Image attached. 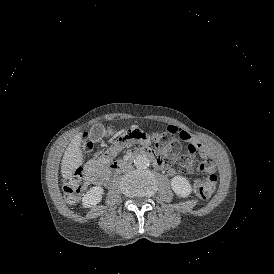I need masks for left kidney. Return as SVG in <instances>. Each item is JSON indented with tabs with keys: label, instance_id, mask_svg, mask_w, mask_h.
I'll use <instances>...</instances> for the list:
<instances>
[{
	"label": "left kidney",
	"instance_id": "left-kidney-1",
	"mask_svg": "<svg viewBox=\"0 0 274 274\" xmlns=\"http://www.w3.org/2000/svg\"><path fill=\"white\" fill-rule=\"evenodd\" d=\"M172 188L173 190L181 196H188L191 192V186L189 182L181 177V176H176L172 179Z\"/></svg>",
	"mask_w": 274,
	"mask_h": 274
}]
</instances>
